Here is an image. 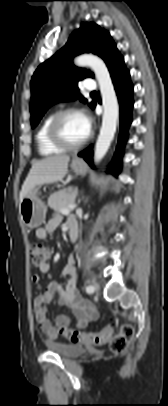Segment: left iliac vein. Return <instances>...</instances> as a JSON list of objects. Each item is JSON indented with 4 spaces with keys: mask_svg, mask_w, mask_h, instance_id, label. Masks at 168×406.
<instances>
[{
    "mask_svg": "<svg viewBox=\"0 0 168 406\" xmlns=\"http://www.w3.org/2000/svg\"><path fill=\"white\" fill-rule=\"evenodd\" d=\"M93 287H94V289H95V291H98V289H99V285L98 284H93Z\"/></svg>",
    "mask_w": 168,
    "mask_h": 406,
    "instance_id": "1",
    "label": "left iliac vein"
}]
</instances>
